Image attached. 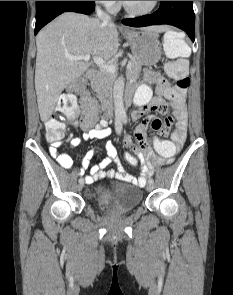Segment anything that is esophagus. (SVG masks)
Segmentation results:
<instances>
[{
  "instance_id": "obj_1",
  "label": "esophagus",
  "mask_w": 233,
  "mask_h": 295,
  "mask_svg": "<svg viewBox=\"0 0 233 295\" xmlns=\"http://www.w3.org/2000/svg\"><path fill=\"white\" fill-rule=\"evenodd\" d=\"M122 31H126L127 29L125 27L120 28Z\"/></svg>"
}]
</instances>
